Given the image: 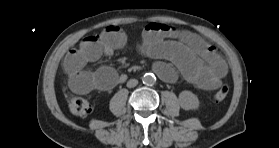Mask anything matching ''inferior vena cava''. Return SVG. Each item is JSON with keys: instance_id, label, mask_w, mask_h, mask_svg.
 <instances>
[{"instance_id": "inferior-vena-cava-1", "label": "inferior vena cava", "mask_w": 279, "mask_h": 148, "mask_svg": "<svg viewBox=\"0 0 279 148\" xmlns=\"http://www.w3.org/2000/svg\"><path fill=\"white\" fill-rule=\"evenodd\" d=\"M137 84H138V80H136V79H130V80L127 82V87H128V88H133V87H135Z\"/></svg>"}]
</instances>
